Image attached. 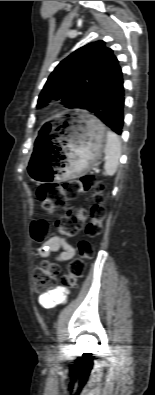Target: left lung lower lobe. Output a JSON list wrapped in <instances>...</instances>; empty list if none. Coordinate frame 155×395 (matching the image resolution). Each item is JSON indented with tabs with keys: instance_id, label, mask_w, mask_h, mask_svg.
Returning a JSON list of instances; mask_svg holds the SVG:
<instances>
[{
	"instance_id": "left-lung-lower-lobe-1",
	"label": "left lung lower lobe",
	"mask_w": 155,
	"mask_h": 395,
	"mask_svg": "<svg viewBox=\"0 0 155 395\" xmlns=\"http://www.w3.org/2000/svg\"><path fill=\"white\" fill-rule=\"evenodd\" d=\"M124 80L119 64L98 84L93 93L80 103L115 133L121 135L124 119Z\"/></svg>"
}]
</instances>
